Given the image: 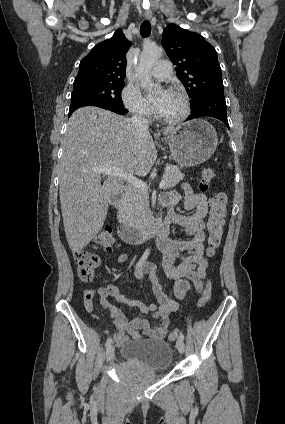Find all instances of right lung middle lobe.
Segmentation results:
<instances>
[{"mask_svg": "<svg viewBox=\"0 0 285 424\" xmlns=\"http://www.w3.org/2000/svg\"><path fill=\"white\" fill-rule=\"evenodd\" d=\"M124 86L123 81L74 84L71 101L90 99L124 108L121 98Z\"/></svg>", "mask_w": 285, "mask_h": 424, "instance_id": "dd1d6c3e", "label": "right lung middle lobe"}]
</instances>
